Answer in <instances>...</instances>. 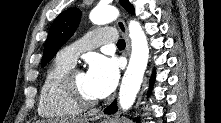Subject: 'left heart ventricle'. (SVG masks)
Masks as SVG:
<instances>
[{
	"mask_svg": "<svg viewBox=\"0 0 221 123\" xmlns=\"http://www.w3.org/2000/svg\"><path fill=\"white\" fill-rule=\"evenodd\" d=\"M75 82L81 93L89 99H98L92 90L89 79L84 72H79L75 76Z\"/></svg>",
	"mask_w": 221,
	"mask_h": 123,
	"instance_id": "left-heart-ventricle-1",
	"label": "left heart ventricle"
}]
</instances>
